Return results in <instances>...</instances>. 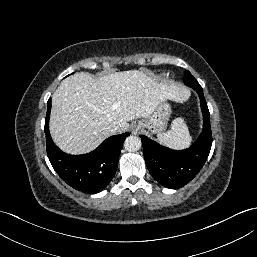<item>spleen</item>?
I'll return each mask as SVG.
<instances>
[{"label": "spleen", "instance_id": "spleen-1", "mask_svg": "<svg viewBox=\"0 0 257 257\" xmlns=\"http://www.w3.org/2000/svg\"><path fill=\"white\" fill-rule=\"evenodd\" d=\"M158 140L167 147L173 149H184L191 144L188 126L184 119L177 118L171 124V130L158 135Z\"/></svg>", "mask_w": 257, "mask_h": 257}]
</instances>
